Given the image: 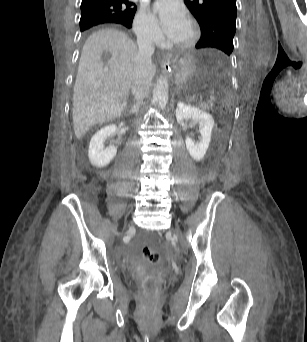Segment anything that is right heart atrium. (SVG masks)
<instances>
[{
  "label": "right heart atrium",
  "mask_w": 307,
  "mask_h": 342,
  "mask_svg": "<svg viewBox=\"0 0 307 342\" xmlns=\"http://www.w3.org/2000/svg\"><path fill=\"white\" fill-rule=\"evenodd\" d=\"M133 31L138 38H150L154 36L152 25L145 20L143 15H138L133 23Z\"/></svg>",
  "instance_id": "d8ad5b80"
}]
</instances>
